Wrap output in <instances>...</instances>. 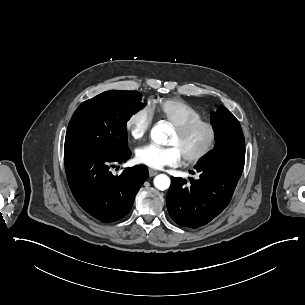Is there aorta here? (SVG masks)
I'll list each match as a JSON object with an SVG mask.
<instances>
[{"instance_id": "aorta-1", "label": "aorta", "mask_w": 305, "mask_h": 305, "mask_svg": "<svg viewBox=\"0 0 305 305\" xmlns=\"http://www.w3.org/2000/svg\"><path fill=\"white\" fill-rule=\"evenodd\" d=\"M170 127L165 122H158L151 129V138L157 144H164L167 141ZM154 186L161 191L167 190L170 187V178L165 174H159L154 178Z\"/></svg>"}]
</instances>
